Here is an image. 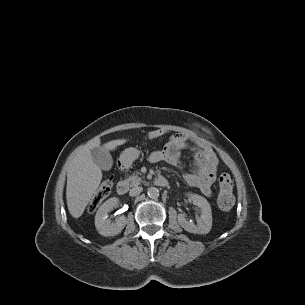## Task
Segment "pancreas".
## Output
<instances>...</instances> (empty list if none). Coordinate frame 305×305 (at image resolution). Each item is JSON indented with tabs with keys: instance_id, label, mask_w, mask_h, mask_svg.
<instances>
[{
	"instance_id": "cf45deb5",
	"label": "pancreas",
	"mask_w": 305,
	"mask_h": 305,
	"mask_svg": "<svg viewBox=\"0 0 305 305\" xmlns=\"http://www.w3.org/2000/svg\"><path fill=\"white\" fill-rule=\"evenodd\" d=\"M139 173H134L133 175L129 176L125 181L130 185V186H137L141 184V182H144L142 178L138 175Z\"/></svg>"
}]
</instances>
